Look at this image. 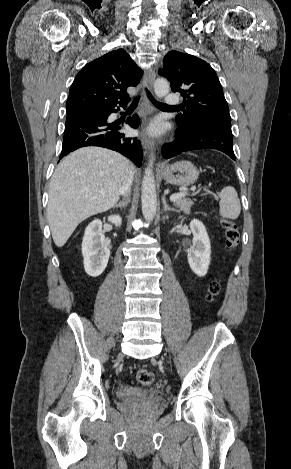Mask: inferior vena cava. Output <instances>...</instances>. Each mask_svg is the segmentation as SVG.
Listing matches in <instances>:
<instances>
[{
  "label": "inferior vena cava",
  "instance_id": "1",
  "mask_svg": "<svg viewBox=\"0 0 291 469\" xmlns=\"http://www.w3.org/2000/svg\"><path fill=\"white\" fill-rule=\"evenodd\" d=\"M133 176H134V173H133V170L132 168L129 170L127 176L125 177V180L121 186V189H120V193L126 197L127 195H130V188H131V185H132V182H133Z\"/></svg>",
  "mask_w": 291,
  "mask_h": 469
}]
</instances>
